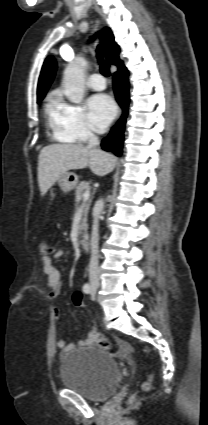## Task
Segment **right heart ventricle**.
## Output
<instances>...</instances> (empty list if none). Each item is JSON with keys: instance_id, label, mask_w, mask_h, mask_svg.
Wrapping results in <instances>:
<instances>
[{"instance_id": "1", "label": "right heart ventricle", "mask_w": 208, "mask_h": 425, "mask_svg": "<svg viewBox=\"0 0 208 425\" xmlns=\"http://www.w3.org/2000/svg\"><path fill=\"white\" fill-rule=\"evenodd\" d=\"M48 123L53 131V137L59 142L73 143L74 139L60 126L58 119V99L50 96L45 107Z\"/></svg>"}]
</instances>
